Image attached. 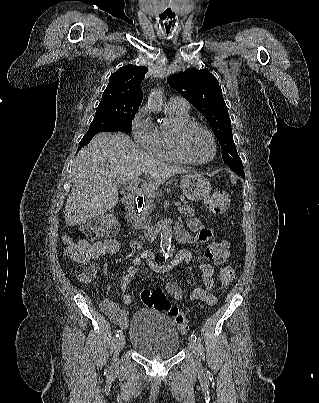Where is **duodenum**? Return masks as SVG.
Listing matches in <instances>:
<instances>
[{
  "mask_svg": "<svg viewBox=\"0 0 319 403\" xmlns=\"http://www.w3.org/2000/svg\"><path fill=\"white\" fill-rule=\"evenodd\" d=\"M142 199L134 192H127L124 195V205L127 209V213L131 214L133 210L140 207L142 205ZM167 221H160L151 225L145 232V237L147 240H153L161 231H163L167 227ZM131 246L133 248L138 246V243L135 241L131 242Z\"/></svg>",
  "mask_w": 319,
  "mask_h": 403,
  "instance_id": "duodenum-1",
  "label": "duodenum"
}]
</instances>
